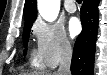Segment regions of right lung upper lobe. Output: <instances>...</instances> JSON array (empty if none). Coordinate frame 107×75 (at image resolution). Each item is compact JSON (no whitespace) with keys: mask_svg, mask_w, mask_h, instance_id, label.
Instances as JSON below:
<instances>
[{"mask_svg":"<svg viewBox=\"0 0 107 75\" xmlns=\"http://www.w3.org/2000/svg\"><path fill=\"white\" fill-rule=\"evenodd\" d=\"M37 16L36 0H26L24 5V19L26 23H33ZM25 23V24H26Z\"/></svg>","mask_w":107,"mask_h":75,"instance_id":"right-lung-upper-lobe-1","label":"right lung upper lobe"}]
</instances>
